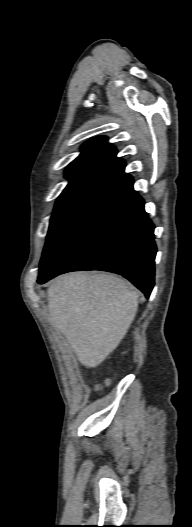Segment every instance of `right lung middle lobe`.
Wrapping results in <instances>:
<instances>
[{
	"label": "right lung middle lobe",
	"mask_w": 192,
	"mask_h": 527,
	"mask_svg": "<svg viewBox=\"0 0 192 527\" xmlns=\"http://www.w3.org/2000/svg\"><path fill=\"white\" fill-rule=\"evenodd\" d=\"M105 184L102 181H84L70 184L64 189L56 202L50 220L42 258L49 253L64 231Z\"/></svg>",
	"instance_id": "right-lung-middle-lobe-1"
}]
</instances>
